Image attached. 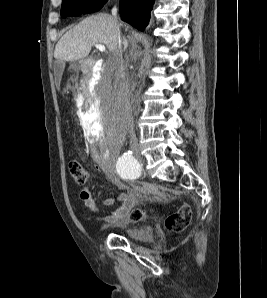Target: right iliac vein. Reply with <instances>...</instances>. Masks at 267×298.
I'll list each match as a JSON object with an SVG mask.
<instances>
[{
	"mask_svg": "<svg viewBox=\"0 0 267 298\" xmlns=\"http://www.w3.org/2000/svg\"><path fill=\"white\" fill-rule=\"evenodd\" d=\"M131 150H132V152H133L135 155H138V153H139V147H138L137 144H132V145H131Z\"/></svg>",
	"mask_w": 267,
	"mask_h": 298,
	"instance_id": "1",
	"label": "right iliac vein"
}]
</instances>
